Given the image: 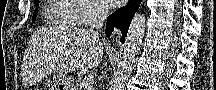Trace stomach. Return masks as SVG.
<instances>
[{"label": "stomach", "mask_w": 216, "mask_h": 90, "mask_svg": "<svg viewBox=\"0 0 216 90\" xmlns=\"http://www.w3.org/2000/svg\"><path fill=\"white\" fill-rule=\"evenodd\" d=\"M53 87L55 90H72L71 81L65 74H55L53 76Z\"/></svg>", "instance_id": "1"}]
</instances>
